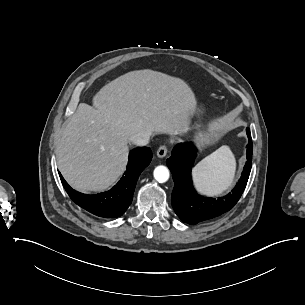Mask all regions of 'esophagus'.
Listing matches in <instances>:
<instances>
[{
  "instance_id": "34e87169",
  "label": "esophagus",
  "mask_w": 305,
  "mask_h": 305,
  "mask_svg": "<svg viewBox=\"0 0 305 305\" xmlns=\"http://www.w3.org/2000/svg\"><path fill=\"white\" fill-rule=\"evenodd\" d=\"M166 154H167V147L165 145L159 147V149L157 150L158 158H163L166 156Z\"/></svg>"
}]
</instances>
